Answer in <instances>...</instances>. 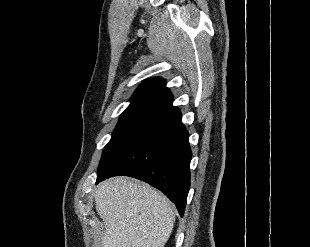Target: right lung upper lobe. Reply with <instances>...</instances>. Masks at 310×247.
Masks as SVG:
<instances>
[{"mask_svg":"<svg viewBox=\"0 0 310 247\" xmlns=\"http://www.w3.org/2000/svg\"><path fill=\"white\" fill-rule=\"evenodd\" d=\"M173 97L162 78L144 81L130 99L129 109H149L157 114L172 107ZM126 109V110H127Z\"/></svg>","mask_w":310,"mask_h":247,"instance_id":"1","label":"right lung upper lobe"}]
</instances>
